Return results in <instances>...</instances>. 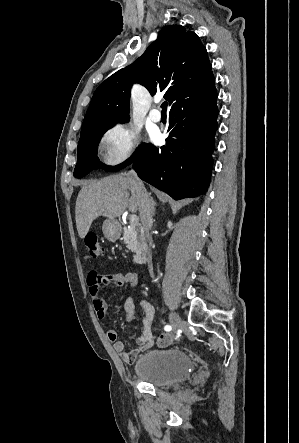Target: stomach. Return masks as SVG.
<instances>
[{
	"label": "stomach",
	"mask_w": 299,
	"mask_h": 443,
	"mask_svg": "<svg viewBox=\"0 0 299 443\" xmlns=\"http://www.w3.org/2000/svg\"><path fill=\"white\" fill-rule=\"evenodd\" d=\"M102 231L110 242H115L119 237V222L115 219H107L104 221Z\"/></svg>",
	"instance_id": "stomach-1"
}]
</instances>
